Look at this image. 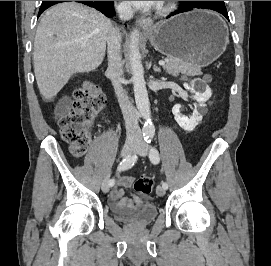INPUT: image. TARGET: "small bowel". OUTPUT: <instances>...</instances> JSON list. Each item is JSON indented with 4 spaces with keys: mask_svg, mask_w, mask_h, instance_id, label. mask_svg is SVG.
Listing matches in <instances>:
<instances>
[{
    "mask_svg": "<svg viewBox=\"0 0 271 266\" xmlns=\"http://www.w3.org/2000/svg\"><path fill=\"white\" fill-rule=\"evenodd\" d=\"M69 103L68 98H63L57 107V113L63 112ZM134 182V177L132 176H119L117 177V182L115 188L110 194V203L112 207L116 210L123 209H137L142 206L143 200L138 195L125 196V190L129 188Z\"/></svg>",
    "mask_w": 271,
    "mask_h": 266,
    "instance_id": "obj_1",
    "label": "small bowel"
}]
</instances>
